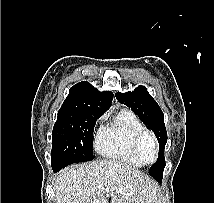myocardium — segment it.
I'll return each instance as SVG.
<instances>
[{"mask_svg":"<svg viewBox=\"0 0 214 203\" xmlns=\"http://www.w3.org/2000/svg\"><path fill=\"white\" fill-rule=\"evenodd\" d=\"M146 138H149L151 140V142L153 144V147H154V151H155V157H154L153 161H151V162L145 161L143 159V157H142V151H141L142 143H143V141ZM133 150H134V153L136 154V156L138 157V159L144 165L153 164V163H155L158 160V157H159V146H158V142H157V139H156L155 135L151 131H149V130L145 129V130L139 132L135 136L134 141H133Z\"/></svg>","mask_w":214,"mask_h":203,"instance_id":"f54148a6","label":"myocardium"}]
</instances>
